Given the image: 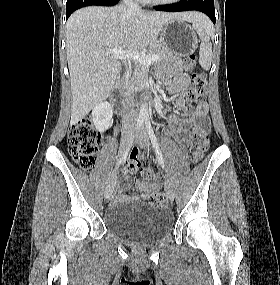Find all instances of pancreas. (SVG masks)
I'll return each instance as SVG.
<instances>
[{
  "mask_svg": "<svg viewBox=\"0 0 280 285\" xmlns=\"http://www.w3.org/2000/svg\"><path fill=\"white\" fill-rule=\"evenodd\" d=\"M148 55L157 54L159 59L163 60L170 57L173 53L163 44L156 43L152 45L147 51ZM148 66L139 62L134 63V69L130 73L128 79L125 81V88L127 90L139 91L143 89L147 81Z\"/></svg>",
  "mask_w": 280,
  "mask_h": 285,
  "instance_id": "pancreas-1",
  "label": "pancreas"
}]
</instances>
